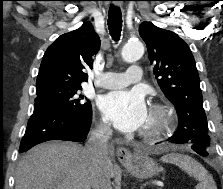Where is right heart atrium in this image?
<instances>
[{"mask_svg":"<svg viewBox=\"0 0 223 189\" xmlns=\"http://www.w3.org/2000/svg\"><path fill=\"white\" fill-rule=\"evenodd\" d=\"M97 129H98L100 132L105 133V132H108L109 127H108V125H107V123H106L105 121L100 120V121L98 122V124H97Z\"/></svg>","mask_w":223,"mask_h":189,"instance_id":"obj_1","label":"right heart atrium"}]
</instances>
